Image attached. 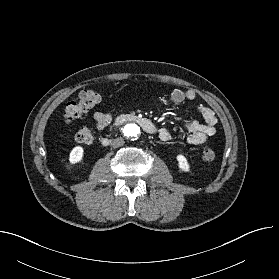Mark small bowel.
I'll list each match as a JSON object with an SVG mask.
<instances>
[{
	"label": "small bowel",
	"mask_w": 279,
	"mask_h": 279,
	"mask_svg": "<svg viewBox=\"0 0 279 279\" xmlns=\"http://www.w3.org/2000/svg\"><path fill=\"white\" fill-rule=\"evenodd\" d=\"M195 98L196 93L192 89H174L170 93V99L175 104L182 103L186 100L193 101ZM190 108L196 110L202 116L204 123H200L196 120H186L185 127L187 134L185 135L184 140L191 145H200L215 135L217 118L212 109L202 104H197ZM93 118L98 130L105 129L112 121V115L110 113L100 111L95 112ZM156 133L162 141L167 142L172 139V133L166 127H157Z\"/></svg>",
	"instance_id": "obj_1"
}]
</instances>
